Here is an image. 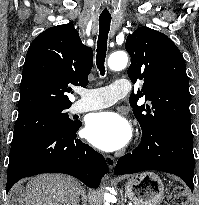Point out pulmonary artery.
<instances>
[{"mask_svg": "<svg viewBox=\"0 0 199 205\" xmlns=\"http://www.w3.org/2000/svg\"><path fill=\"white\" fill-rule=\"evenodd\" d=\"M131 90L130 83L123 78L116 79L112 84L79 91L80 99L71 106L72 113H83L108 107L125 97Z\"/></svg>", "mask_w": 199, "mask_h": 205, "instance_id": "pulmonary-artery-1", "label": "pulmonary artery"}]
</instances>
